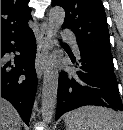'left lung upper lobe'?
Returning <instances> with one entry per match:
<instances>
[{"instance_id": "obj_1", "label": "left lung upper lobe", "mask_w": 123, "mask_h": 130, "mask_svg": "<svg viewBox=\"0 0 123 130\" xmlns=\"http://www.w3.org/2000/svg\"><path fill=\"white\" fill-rule=\"evenodd\" d=\"M65 11L63 28L71 29L79 48L112 57L106 14L101 0H52Z\"/></svg>"}]
</instances>
